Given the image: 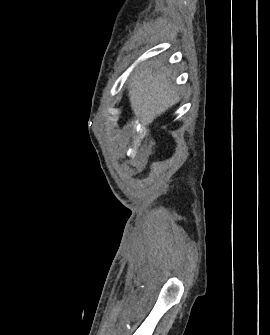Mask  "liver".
Segmentation results:
<instances>
[{"instance_id": "6515ba94", "label": "liver", "mask_w": 270, "mask_h": 335, "mask_svg": "<svg viewBox=\"0 0 270 335\" xmlns=\"http://www.w3.org/2000/svg\"><path fill=\"white\" fill-rule=\"evenodd\" d=\"M129 88L131 108L146 124H152L157 116H161L180 100L169 76L163 70L154 68L153 62L149 68L143 66L131 76Z\"/></svg>"}]
</instances>
